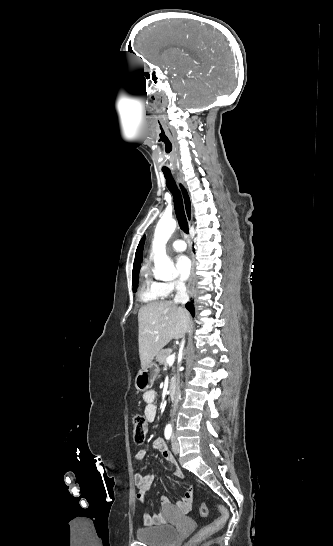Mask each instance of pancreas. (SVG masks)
Wrapping results in <instances>:
<instances>
[{"label":"pancreas","mask_w":333,"mask_h":546,"mask_svg":"<svg viewBox=\"0 0 333 546\" xmlns=\"http://www.w3.org/2000/svg\"><path fill=\"white\" fill-rule=\"evenodd\" d=\"M172 353L171 348L162 349L158 352L156 355V361L159 362L160 365L167 366L166 358L170 356Z\"/></svg>","instance_id":"pancreas-1"}]
</instances>
